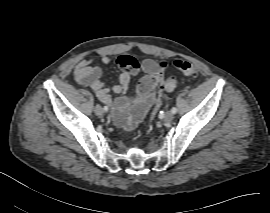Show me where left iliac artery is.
<instances>
[{
	"label": "left iliac artery",
	"instance_id": "1",
	"mask_svg": "<svg viewBox=\"0 0 270 213\" xmlns=\"http://www.w3.org/2000/svg\"><path fill=\"white\" fill-rule=\"evenodd\" d=\"M171 112H172L173 114L177 113V108H176V107H173V108L171 109Z\"/></svg>",
	"mask_w": 270,
	"mask_h": 213
}]
</instances>
